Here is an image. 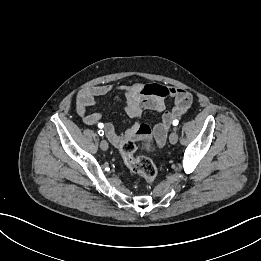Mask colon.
I'll use <instances>...</instances> for the list:
<instances>
[{
  "label": "colon",
  "mask_w": 261,
  "mask_h": 261,
  "mask_svg": "<svg viewBox=\"0 0 261 261\" xmlns=\"http://www.w3.org/2000/svg\"><path fill=\"white\" fill-rule=\"evenodd\" d=\"M120 154L128 168L141 176L147 183H152L157 176V168L151 159L145 156H136V144L128 138L119 148Z\"/></svg>",
  "instance_id": "obj_1"
}]
</instances>
